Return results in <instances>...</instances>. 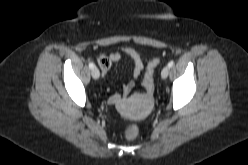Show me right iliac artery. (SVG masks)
Listing matches in <instances>:
<instances>
[{
	"label": "right iliac artery",
	"mask_w": 248,
	"mask_h": 165,
	"mask_svg": "<svg viewBox=\"0 0 248 165\" xmlns=\"http://www.w3.org/2000/svg\"><path fill=\"white\" fill-rule=\"evenodd\" d=\"M94 67H95V65H94L93 63L90 62V63H89V68H90V69H93Z\"/></svg>",
	"instance_id": "1"
}]
</instances>
